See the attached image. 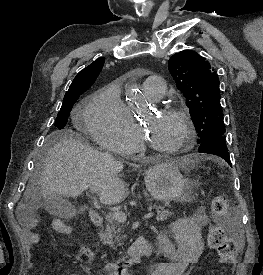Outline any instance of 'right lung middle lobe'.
Wrapping results in <instances>:
<instances>
[{
    "label": "right lung middle lobe",
    "mask_w": 263,
    "mask_h": 275,
    "mask_svg": "<svg viewBox=\"0 0 263 275\" xmlns=\"http://www.w3.org/2000/svg\"><path fill=\"white\" fill-rule=\"evenodd\" d=\"M85 91L86 89H82V90L65 94L61 109L55 121V126L58 129H62L65 127V125L67 124L68 117L70 116V112L72 110L73 104L76 102L78 97Z\"/></svg>",
    "instance_id": "1"
}]
</instances>
